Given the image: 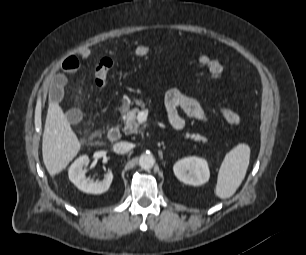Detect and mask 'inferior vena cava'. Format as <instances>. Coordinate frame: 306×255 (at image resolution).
Returning <instances> with one entry per match:
<instances>
[{"instance_id": "1", "label": "inferior vena cava", "mask_w": 306, "mask_h": 255, "mask_svg": "<svg viewBox=\"0 0 306 255\" xmlns=\"http://www.w3.org/2000/svg\"><path fill=\"white\" fill-rule=\"evenodd\" d=\"M133 148V144L128 142H118L114 144L113 150L118 154H125Z\"/></svg>"}]
</instances>
